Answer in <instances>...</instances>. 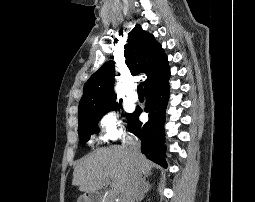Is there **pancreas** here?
<instances>
[{
    "label": "pancreas",
    "mask_w": 255,
    "mask_h": 202,
    "mask_svg": "<svg viewBox=\"0 0 255 202\" xmlns=\"http://www.w3.org/2000/svg\"><path fill=\"white\" fill-rule=\"evenodd\" d=\"M103 202H112V200L109 197H107L103 200Z\"/></svg>",
    "instance_id": "obj_1"
}]
</instances>
